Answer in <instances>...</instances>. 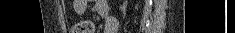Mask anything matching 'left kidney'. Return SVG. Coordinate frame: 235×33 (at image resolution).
Masks as SVG:
<instances>
[{"label": "left kidney", "instance_id": "1", "mask_svg": "<svg viewBox=\"0 0 235 33\" xmlns=\"http://www.w3.org/2000/svg\"><path fill=\"white\" fill-rule=\"evenodd\" d=\"M127 6L125 4L120 6V10L124 13L126 12Z\"/></svg>", "mask_w": 235, "mask_h": 33}]
</instances>
